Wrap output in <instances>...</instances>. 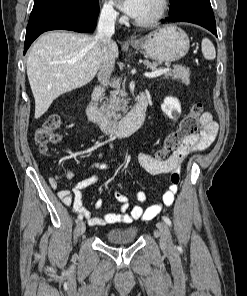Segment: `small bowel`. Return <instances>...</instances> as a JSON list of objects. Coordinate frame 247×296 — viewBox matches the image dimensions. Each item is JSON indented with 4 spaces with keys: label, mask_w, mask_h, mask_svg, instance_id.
Masks as SVG:
<instances>
[{
    "label": "small bowel",
    "mask_w": 247,
    "mask_h": 296,
    "mask_svg": "<svg viewBox=\"0 0 247 296\" xmlns=\"http://www.w3.org/2000/svg\"><path fill=\"white\" fill-rule=\"evenodd\" d=\"M201 131L197 135L189 136L181 147L165 160H157L149 154H141L139 156L140 165L151 175L166 174L170 176L171 185L163 194L160 204H153L146 208L142 205L131 206L129 198L120 191H115V199L119 203V211L116 213H105L102 216H93L86 209L82 201V191L99 182L100 178L97 174L89 175L82 179L72 189H61L57 191V196L62 203L68 207H72L75 213L84 216L90 225L106 226L113 224H130L139 219H151L159 214L164 208L171 206L177 193L178 185L172 182L173 175L180 174V167L184 159L193 151H201L206 149L214 141L217 134V124L213 120L210 112L202 113L200 117ZM97 166L102 170L109 167L106 163L100 162ZM74 172L68 170L64 173L66 179H73ZM50 184L53 188H57V183L51 179ZM137 200L140 204L146 202V195L142 191L137 192ZM103 206V201L98 199L94 203L96 209Z\"/></svg>",
    "instance_id": "c3829d8e"
}]
</instances>
